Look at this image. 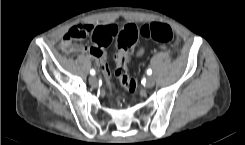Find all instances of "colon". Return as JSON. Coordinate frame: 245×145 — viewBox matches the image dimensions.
Wrapping results in <instances>:
<instances>
[{
	"instance_id": "obj_1",
	"label": "colon",
	"mask_w": 245,
	"mask_h": 145,
	"mask_svg": "<svg viewBox=\"0 0 245 145\" xmlns=\"http://www.w3.org/2000/svg\"><path fill=\"white\" fill-rule=\"evenodd\" d=\"M108 32L111 34V38H117L118 42L115 74L121 84L130 93L136 91L137 82L128 75L127 66L130 60L131 48L138 37L163 44H169L175 38L171 27L159 22L145 23L141 27H137L134 24H125L121 28L118 26H110L108 27ZM95 37L96 31L92 27L88 25H75L69 29L64 37V42H70L71 40L77 39H88L92 41ZM98 66L105 79L108 80L109 71L106 64H100Z\"/></svg>"
}]
</instances>
